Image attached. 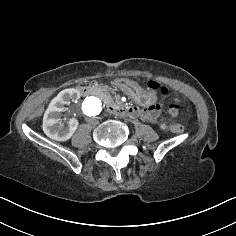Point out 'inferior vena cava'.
<instances>
[{
	"mask_svg": "<svg viewBox=\"0 0 236 236\" xmlns=\"http://www.w3.org/2000/svg\"><path fill=\"white\" fill-rule=\"evenodd\" d=\"M85 121H86L88 124H90V125H96V124L99 123V120H98V119L93 120V119H91L90 117H86V118H85Z\"/></svg>",
	"mask_w": 236,
	"mask_h": 236,
	"instance_id": "602c4592",
	"label": "inferior vena cava"
}]
</instances>
